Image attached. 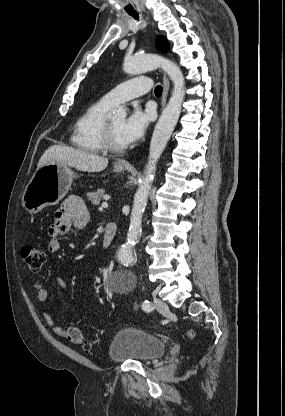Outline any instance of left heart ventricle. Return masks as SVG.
<instances>
[{"mask_svg":"<svg viewBox=\"0 0 285 416\" xmlns=\"http://www.w3.org/2000/svg\"><path fill=\"white\" fill-rule=\"evenodd\" d=\"M112 142L117 146H125L121 139L120 128L124 121L123 117L113 116L108 118Z\"/></svg>","mask_w":285,"mask_h":416,"instance_id":"1","label":"left heart ventricle"}]
</instances>
